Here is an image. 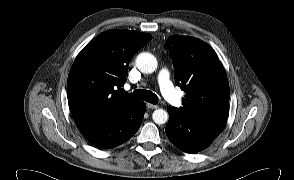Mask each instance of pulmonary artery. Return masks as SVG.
I'll return each instance as SVG.
<instances>
[{"mask_svg": "<svg viewBox=\"0 0 294 180\" xmlns=\"http://www.w3.org/2000/svg\"><path fill=\"white\" fill-rule=\"evenodd\" d=\"M158 83L163 96L175 107H180L181 98L177 95L169 80V72L167 69L163 68L159 72Z\"/></svg>", "mask_w": 294, "mask_h": 180, "instance_id": "1", "label": "pulmonary artery"}]
</instances>
